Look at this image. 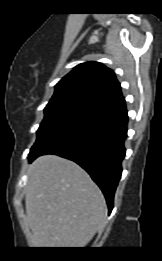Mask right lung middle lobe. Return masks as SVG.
Here are the masks:
<instances>
[{
    "instance_id": "right-lung-middle-lobe-1",
    "label": "right lung middle lobe",
    "mask_w": 162,
    "mask_h": 261,
    "mask_svg": "<svg viewBox=\"0 0 162 261\" xmlns=\"http://www.w3.org/2000/svg\"><path fill=\"white\" fill-rule=\"evenodd\" d=\"M102 106L100 101L82 93L70 92L53 95L44 109L45 117L37 131V140L30 153L64 125Z\"/></svg>"
}]
</instances>
